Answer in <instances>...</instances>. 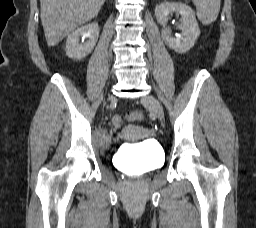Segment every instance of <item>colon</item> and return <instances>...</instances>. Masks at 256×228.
I'll use <instances>...</instances> for the list:
<instances>
[{"label":"colon","instance_id":"5ec220e1","mask_svg":"<svg viewBox=\"0 0 256 228\" xmlns=\"http://www.w3.org/2000/svg\"><path fill=\"white\" fill-rule=\"evenodd\" d=\"M130 118L132 119H140L141 118V114L140 113H132L130 114ZM123 123V119L121 116H114L112 119V124L115 128H120L122 126Z\"/></svg>","mask_w":256,"mask_h":228}]
</instances>
